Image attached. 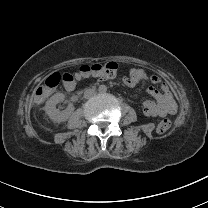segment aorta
<instances>
[{
    "instance_id": "1",
    "label": "aorta",
    "mask_w": 208,
    "mask_h": 208,
    "mask_svg": "<svg viewBox=\"0 0 208 208\" xmlns=\"http://www.w3.org/2000/svg\"><path fill=\"white\" fill-rule=\"evenodd\" d=\"M96 91L100 95H105V94H107L108 89L105 85L100 84V85L97 86Z\"/></svg>"
}]
</instances>
